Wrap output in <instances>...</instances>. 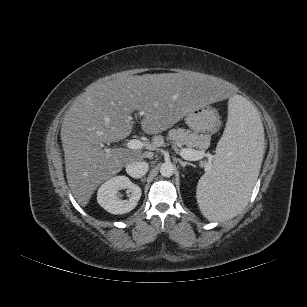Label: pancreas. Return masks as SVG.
Wrapping results in <instances>:
<instances>
[{
  "mask_svg": "<svg viewBox=\"0 0 307 307\" xmlns=\"http://www.w3.org/2000/svg\"><path fill=\"white\" fill-rule=\"evenodd\" d=\"M167 140L176 142L190 149H198L204 151L208 146V138L205 135L197 134L191 130L184 128L171 129L168 132ZM157 142L162 141V137L156 138Z\"/></svg>",
  "mask_w": 307,
  "mask_h": 307,
  "instance_id": "obj_1",
  "label": "pancreas"
}]
</instances>
